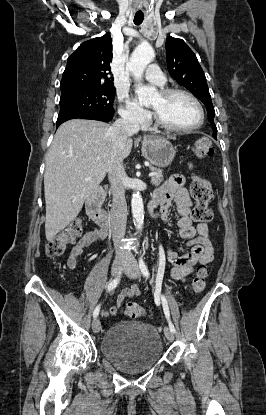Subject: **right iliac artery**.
Returning <instances> with one entry per match:
<instances>
[{
    "label": "right iliac artery",
    "mask_w": 266,
    "mask_h": 415,
    "mask_svg": "<svg viewBox=\"0 0 266 415\" xmlns=\"http://www.w3.org/2000/svg\"><path fill=\"white\" fill-rule=\"evenodd\" d=\"M119 281H120V277H117V278L113 279V280L109 283L107 290H108V291H111V290L115 289V288H116V286L118 285ZM99 311H100V305H98V306L95 308L94 312H93V317H94V318H96V317L98 316Z\"/></svg>",
    "instance_id": "right-iliac-artery-1"
}]
</instances>
